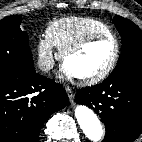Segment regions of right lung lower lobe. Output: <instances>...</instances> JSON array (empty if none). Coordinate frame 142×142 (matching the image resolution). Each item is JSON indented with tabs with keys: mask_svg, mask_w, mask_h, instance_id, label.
Segmentation results:
<instances>
[{
	"mask_svg": "<svg viewBox=\"0 0 142 142\" xmlns=\"http://www.w3.org/2000/svg\"><path fill=\"white\" fill-rule=\"evenodd\" d=\"M67 103L62 86L35 70L0 76V142H38L45 121Z\"/></svg>",
	"mask_w": 142,
	"mask_h": 142,
	"instance_id": "1",
	"label": "right lung lower lobe"
}]
</instances>
